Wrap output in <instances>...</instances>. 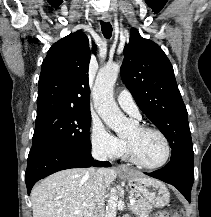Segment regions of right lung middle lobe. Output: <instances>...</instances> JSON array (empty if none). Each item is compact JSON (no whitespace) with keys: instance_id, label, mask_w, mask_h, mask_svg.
<instances>
[{"instance_id":"dd1d6c3e","label":"right lung middle lobe","mask_w":211,"mask_h":217,"mask_svg":"<svg viewBox=\"0 0 211 217\" xmlns=\"http://www.w3.org/2000/svg\"><path fill=\"white\" fill-rule=\"evenodd\" d=\"M90 112L51 113L36 118L32 146L58 145L79 152H90Z\"/></svg>"}]
</instances>
